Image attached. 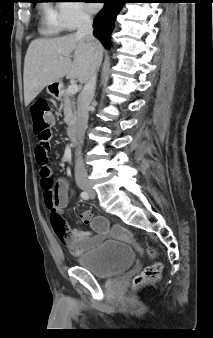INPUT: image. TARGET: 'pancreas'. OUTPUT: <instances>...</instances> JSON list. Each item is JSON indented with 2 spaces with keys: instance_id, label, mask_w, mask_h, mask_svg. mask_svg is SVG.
Returning a JSON list of instances; mask_svg holds the SVG:
<instances>
[{
  "instance_id": "1",
  "label": "pancreas",
  "mask_w": 213,
  "mask_h": 338,
  "mask_svg": "<svg viewBox=\"0 0 213 338\" xmlns=\"http://www.w3.org/2000/svg\"><path fill=\"white\" fill-rule=\"evenodd\" d=\"M61 102L64 111V122L68 125V131L70 132L76 124L75 101L67 90H63L61 93Z\"/></svg>"
}]
</instances>
